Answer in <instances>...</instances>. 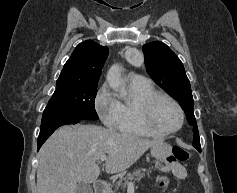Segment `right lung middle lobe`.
Listing matches in <instances>:
<instances>
[{"instance_id": "right-lung-middle-lobe-1", "label": "right lung middle lobe", "mask_w": 237, "mask_h": 193, "mask_svg": "<svg viewBox=\"0 0 237 193\" xmlns=\"http://www.w3.org/2000/svg\"><path fill=\"white\" fill-rule=\"evenodd\" d=\"M97 84L57 80V89L44 112L56 113L69 118L97 120L94 100Z\"/></svg>"}]
</instances>
